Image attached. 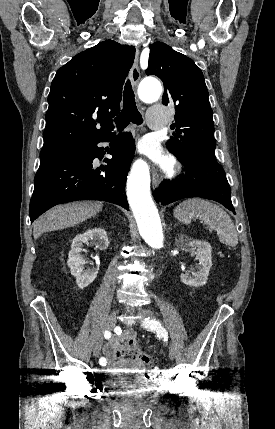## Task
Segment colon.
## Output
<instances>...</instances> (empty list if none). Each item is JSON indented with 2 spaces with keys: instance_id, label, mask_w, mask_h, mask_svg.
<instances>
[{
  "instance_id": "obj_1",
  "label": "colon",
  "mask_w": 275,
  "mask_h": 429,
  "mask_svg": "<svg viewBox=\"0 0 275 429\" xmlns=\"http://www.w3.org/2000/svg\"><path fill=\"white\" fill-rule=\"evenodd\" d=\"M129 351L133 353L134 359L136 361L144 364L145 366H147L151 370H155L156 359L154 357L146 354L145 352H143L139 348L138 341H131L130 342V350Z\"/></svg>"
}]
</instances>
